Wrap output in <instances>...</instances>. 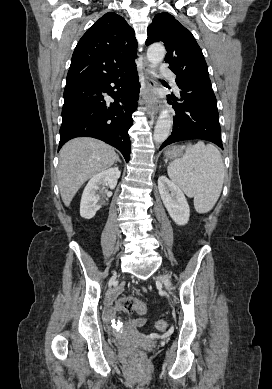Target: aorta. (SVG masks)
I'll return each mask as SVG.
<instances>
[{
    "instance_id": "aorta-1",
    "label": "aorta",
    "mask_w": 272,
    "mask_h": 389,
    "mask_svg": "<svg viewBox=\"0 0 272 389\" xmlns=\"http://www.w3.org/2000/svg\"><path fill=\"white\" fill-rule=\"evenodd\" d=\"M166 54L165 47L160 43H154L147 50V59L153 68L162 62ZM173 121L168 109H163L155 125L153 139L156 143L164 142L170 135Z\"/></svg>"
}]
</instances>
